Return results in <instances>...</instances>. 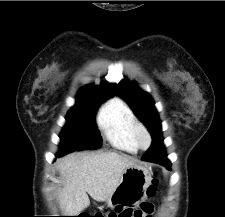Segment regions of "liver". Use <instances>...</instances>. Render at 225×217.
<instances>
[{
	"label": "liver",
	"mask_w": 225,
	"mask_h": 217,
	"mask_svg": "<svg viewBox=\"0 0 225 217\" xmlns=\"http://www.w3.org/2000/svg\"><path fill=\"white\" fill-rule=\"evenodd\" d=\"M135 163L134 158L111 151L68 154L57 165L64 180L58 194L60 208L75 216L90 205L88 194L96 201H109L124 170Z\"/></svg>",
	"instance_id": "6515ba94"
}]
</instances>
